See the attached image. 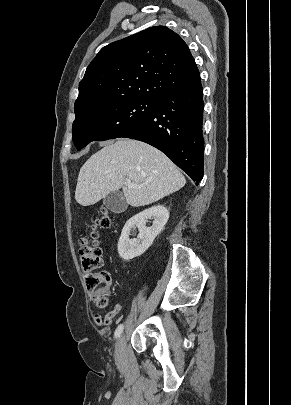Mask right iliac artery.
<instances>
[{"mask_svg":"<svg viewBox=\"0 0 291 405\" xmlns=\"http://www.w3.org/2000/svg\"><path fill=\"white\" fill-rule=\"evenodd\" d=\"M122 331H123V324H120L115 330L114 337L118 338L121 335Z\"/></svg>","mask_w":291,"mask_h":405,"instance_id":"right-iliac-artery-1","label":"right iliac artery"}]
</instances>
